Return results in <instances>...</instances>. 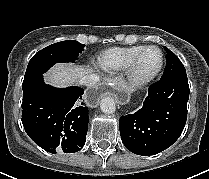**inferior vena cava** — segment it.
<instances>
[{"mask_svg":"<svg viewBox=\"0 0 209 179\" xmlns=\"http://www.w3.org/2000/svg\"><path fill=\"white\" fill-rule=\"evenodd\" d=\"M98 81H99V76L95 74H87L79 80V83L86 87H92L95 84H97Z\"/></svg>","mask_w":209,"mask_h":179,"instance_id":"obj_1","label":"inferior vena cava"}]
</instances>
